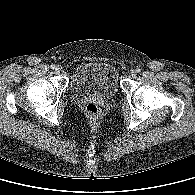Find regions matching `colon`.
Returning a JSON list of instances; mask_svg holds the SVG:
<instances>
[{
    "label": "colon",
    "mask_w": 195,
    "mask_h": 195,
    "mask_svg": "<svg viewBox=\"0 0 195 195\" xmlns=\"http://www.w3.org/2000/svg\"><path fill=\"white\" fill-rule=\"evenodd\" d=\"M85 111L87 116L92 120H97L100 116V108L94 102H90L86 105Z\"/></svg>",
    "instance_id": "5ec220e1"
}]
</instances>
